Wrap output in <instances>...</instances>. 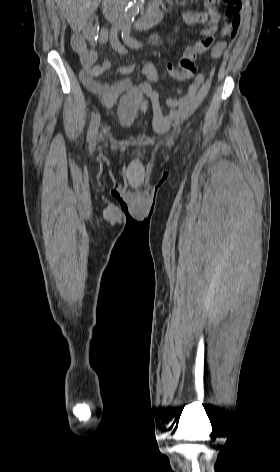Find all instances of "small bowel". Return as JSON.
I'll use <instances>...</instances> for the list:
<instances>
[{
  "label": "small bowel",
  "instance_id": "small-bowel-1",
  "mask_svg": "<svg viewBox=\"0 0 280 472\" xmlns=\"http://www.w3.org/2000/svg\"><path fill=\"white\" fill-rule=\"evenodd\" d=\"M209 1L204 0L205 9L203 11L182 10L181 12L182 19L186 24L202 26L200 39L186 48L182 60L193 62L198 55L205 53L209 49L211 58L218 59L222 56L227 46L225 39L216 40L219 10L215 4ZM238 28L239 25H227L223 30L224 37L234 39ZM109 38L107 29L103 28L99 34V43L105 44ZM72 47L78 54L82 65L80 72L82 83L100 99L104 106L112 107L118 97L130 88L131 81L129 79H120L112 83L99 82L96 78L107 71L113 70L115 63L111 60H106L101 64H96V51L87 47L85 40L78 34L72 37ZM135 70L136 65L131 64L118 67L115 73L129 74ZM140 74L144 78L141 87L152 102L155 124L158 128L166 129L172 122L186 119L202 103L210 91L214 71H211L207 77L201 73H194L188 90L181 98H168L166 100L169 106L168 112L164 110L158 92L153 89V83L158 78L155 66L150 62L146 63L140 70ZM179 92L181 93L182 91L179 90Z\"/></svg>",
  "mask_w": 280,
  "mask_h": 472
}]
</instances>
